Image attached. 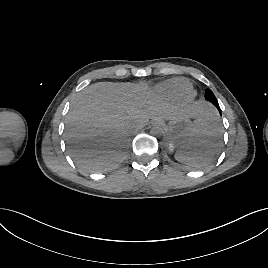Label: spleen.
<instances>
[{"instance_id": "obj_1", "label": "spleen", "mask_w": 268, "mask_h": 268, "mask_svg": "<svg viewBox=\"0 0 268 268\" xmlns=\"http://www.w3.org/2000/svg\"><path fill=\"white\" fill-rule=\"evenodd\" d=\"M221 129L214 111L204 114L194 123L190 141L178 148L175 159L194 167L205 165L217 154Z\"/></svg>"}]
</instances>
